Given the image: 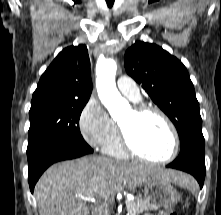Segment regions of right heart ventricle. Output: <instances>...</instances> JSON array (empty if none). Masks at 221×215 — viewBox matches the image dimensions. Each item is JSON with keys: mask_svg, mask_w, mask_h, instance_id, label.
Returning <instances> with one entry per match:
<instances>
[{"mask_svg": "<svg viewBox=\"0 0 221 215\" xmlns=\"http://www.w3.org/2000/svg\"><path fill=\"white\" fill-rule=\"evenodd\" d=\"M103 150L105 153L118 159H125L128 157V154L122 148L117 126L114 136L109 142L104 145Z\"/></svg>", "mask_w": 221, "mask_h": 215, "instance_id": "e07e8e85", "label": "right heart ventricle"}]
</instances>
